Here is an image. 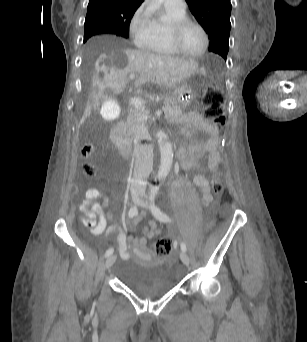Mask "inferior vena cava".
<instances>
[{
  "label": "inferior vena cava",
  "instance_id": "1",
  "mask_svg": "<svg viewBox=\"0 0 307 342\" xmlns=\"http://www.w3.org/2000/svg\"><path fill=\"white\" fill-rule=\"evenodd\" d=\"M145 130L137 124L134 138V154L135 164L133 178L131 180V192H145L147 186V178L153 168V148L147 146L144 148L140 144V140Z\"/></svg>",
  "mask_w": 307,
  "mask_h": 342
}]
</instances>
